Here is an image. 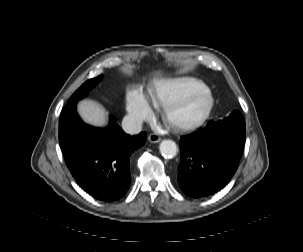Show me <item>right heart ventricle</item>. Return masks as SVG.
Listing matches in <instances>:
<instances>
[{
	"mask_svg": "<svg viewBox=\"0 0 303 252\" xmlns=\"http://www.w3.org/2000/svg\"><path fill=\"white\" fill-rule=\"evenodd\" d=\"M200 87L197 81H166L154 91H148L146 98L151 104L169 105L186 98L193 90Z\"/></svg>",
	"mask_w": 303,
	"mask_h": 252,
	"instance_id": "1",
	"label": "right heart ventricle"
}]
</instances>
